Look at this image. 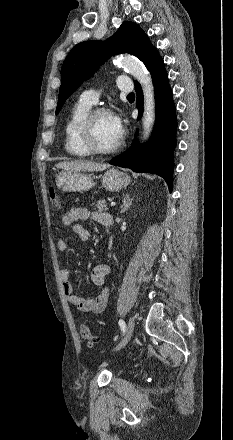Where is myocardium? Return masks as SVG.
Here are the masks:
<instances>
[{
	"label": "myocardium",
	"instance_id": "1",
	"mask_svg": "<svg viewBox=\"0 0 233 440\" xmlns=\"http://www.w3.org/2000/svg\"><path fill=\"white\" fill-rule=\"evenodd\" d=\"M102 114L113 115V112L110 109L104 107L91 109L82 120L79 128V138L81 144L90 154L94 155L114 154L118 152L124 144L123 132H121L118 141L110 148L102 149L95 144L93 139V124L95 119Z\"/></svg>",
	"mask_w": 233,
	"mask_h": 440
}]
</instances>
